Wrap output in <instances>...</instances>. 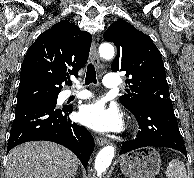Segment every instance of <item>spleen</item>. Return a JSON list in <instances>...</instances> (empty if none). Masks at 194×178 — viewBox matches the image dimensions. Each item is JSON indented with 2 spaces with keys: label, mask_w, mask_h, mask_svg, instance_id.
<instances>
[{
  "label": "spleen",
  "mask_w": 194,
  "mask_h": 178,
  "mask_svg": "<svg viewBox=\"0 0 194 178\" xmlns=\"http://www.w3.org/2000/svg\"><path fill=\"white\" fill-rule=\"evenodd\" d=\"M167 178H187L186 167L182 161L173 159L170 161L167 170Z\"/></svg>",
  "instance_id": "1"
}]
</instances>
